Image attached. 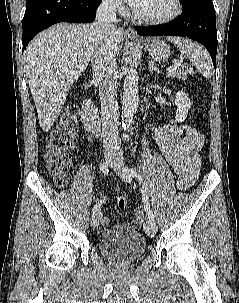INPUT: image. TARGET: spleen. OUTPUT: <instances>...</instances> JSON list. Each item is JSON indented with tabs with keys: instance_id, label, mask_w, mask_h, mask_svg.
<instances>
[{
	"instance_id": "1",
	"label": "spleen",
	"mask_w": 239,
	"mask_h": 303,
	"mask_svg": "<svg viewBox=\"0 0 239 303\" xmlns=\"http://www.w3.org/2000/svg\"><path fill=\"white\" fill-rule=\"evenodd\" d=\"M167 40L173 43L205 78H211L213 75L212 61L202 45L183 37H167Z\"/></svg>"
}]
</instances>
